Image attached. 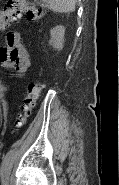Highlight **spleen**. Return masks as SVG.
<instances>
[{
  "label": "spleen",
  "mask_w": 119,
  "mask_h": 185,
  "mask_svg": "<svg viewBox=\"0 0 119 185\" xmlns=\"http://www.w3.org/2000/svg\"><path fill=\"white\" fill-rule=\"evenodd\" d=\"M53 12L70 13L75 10L76 0H40Z\"/></svg>",
  "instance_id": "obj_1"
}]
</instances>
